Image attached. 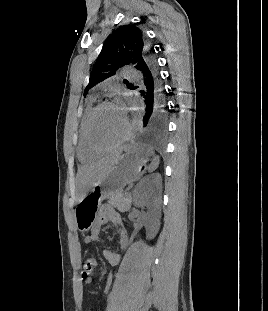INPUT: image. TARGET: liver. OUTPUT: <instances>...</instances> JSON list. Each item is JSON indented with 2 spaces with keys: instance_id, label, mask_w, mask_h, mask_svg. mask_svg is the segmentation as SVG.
<instances>
[{
  "instance_id": "liver-1",
  "label": "liver",
  "mask_w": 268,
  "mask_h": 311,
  "mask_svg": "<svg viewBox=\"0 0 268 311\" xmlns=\"http://www.w3.org/2000/svg\"><path fill=\"white\" fill-rule=\"evenodd\" d=\"M120 153L121 152H117L106 158H102L96 163L84 166L78 170V201H80L91 190V188L106 175L109 168L115 162Z\"/></svg>"
}]
</instances>
